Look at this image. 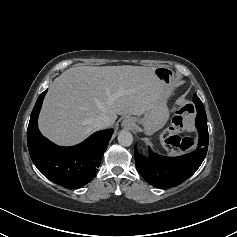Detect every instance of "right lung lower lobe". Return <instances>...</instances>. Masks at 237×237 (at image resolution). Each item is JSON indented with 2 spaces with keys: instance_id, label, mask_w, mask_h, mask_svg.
I'll return each instance as SVG.
<instances>
[{
  "instance_id": "right-lung-lower-lobe-1",
  "label": "right lung lower lobe",
  "mask_w": 237,
  "mask_h": 237,
  "mask_svg": "<svg viewBox=\"0 0 237 237\" xmlns=\"http://www.w3.org/2000/svg\"><path fill=\"white\" fill-rule=\"evenodd\" d=\"M47 90L33 108L27 144L31 159L38 170L52 182L66 188H79L92 180L100 165L113 130L98 131L73 147H60L39 131L37 120Z\"/></svg>"
}]
</instances>
